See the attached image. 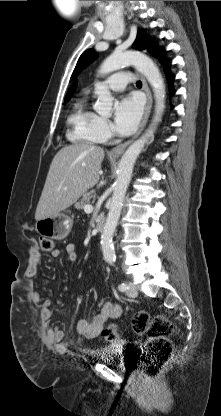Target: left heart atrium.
<instances>
[{"mask_svg":"<svg viewBox=\"0 0 221 416\" xmlns=\"http://www.w3.org/2000/svg\"><path fill=\"white\" fill-rule=\"evenodd\" d=\"M142 109V102L136 95L122 97L115 108V130L120 134L133 132L141 119Z\"/></svg>","mask_w":221,"mask_h":416,"instance_id":"obj_1","label":"left heart atrium"}]
</instances>
